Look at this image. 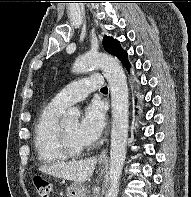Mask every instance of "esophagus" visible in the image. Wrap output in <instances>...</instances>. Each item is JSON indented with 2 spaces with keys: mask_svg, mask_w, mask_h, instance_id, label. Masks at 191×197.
I'll return each mask as SVG.
<instances>
[{
  "mask_svg": "<svg viewBox=\"0 0 191 197\" xmlns=\"http://www.w3.org/2000/svg\"><path fill=\"white\" fill-rule=\"evenodd\" d=\"M98 159L101 160V161H104V160H107L108 159V150H107V147L101 151V153L98 156Z\"/></svg>",
  "mask_w": 191,
  "mask_h": 197,
  "instance_id": "obj_1",
  "label": "esophagus"
}]
</instances>
